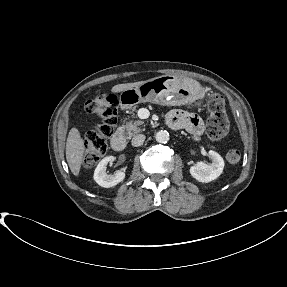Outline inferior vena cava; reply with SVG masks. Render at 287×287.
Instances as JSON below:
<instances>
[{
    "label": "inferior vena cava",
    "mask_w": 287,
    "mask_h": 287,
    "mask_svg": "<svg viewBox=\"0 0 287 287\" xmlns=\"http://www.w3.org/2000/svg\"><path fill=\"white\" fill-rule=\"evenodd\" d=\"M145 138L146 137L143 134L135 135L131 140L132 146H134V147L141 146L144 143Z\"/></svg>",
    "instance_id": "602c4592"
}]
</instances>
